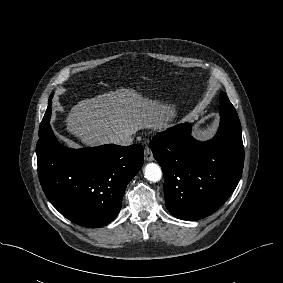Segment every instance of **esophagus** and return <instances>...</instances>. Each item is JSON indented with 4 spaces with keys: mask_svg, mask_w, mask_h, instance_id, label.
<instances>
[{
    "mask_svg": "<svg viewBox=\"0 0 283 283\" xmlns=\"http://www.w3.org/2000/svg\"><path fill=\"white\" fill-rule=\"evenodd\" d=\"M144 159L146 161H153V159H154L153 153H152L150 147H148V146H146L145 149H144Z\"/></svg>",
    "mask_w": 283,
    "mask_h": 283,
    "instance_id": "34e87169",
    "label": "esophagus"
}]
</instances>
